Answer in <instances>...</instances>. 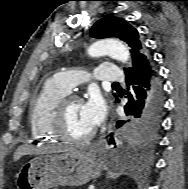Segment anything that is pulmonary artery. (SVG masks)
<instances>
[{"label":"pulmonary artery","instance_id":"e3ab8cb5","mask_svg":"<svg viewBox=\"0 0 188 189\" xmlns=\"http://www.w3.org/2000/svg\"><path fill=\"white\" fill-rule=\"evenodd\" d=\"M55 80L70 91L88 78L99 82H118L123 80V73L115 64H101L95 70H64L55 75Z\"/></svg>","mask_w":188,"mask_h":189}]
</instances>
